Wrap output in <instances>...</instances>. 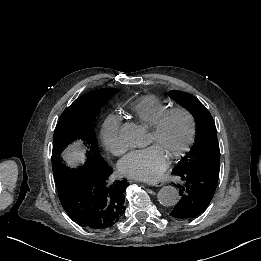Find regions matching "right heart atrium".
<instances>
[{"label":"right heart atrium","mask_w":261,"mask_h":261,"mask_svg":"<svg viewBox=\"0 0 261 261\" xmlns=\"http://www.w3.org/2000/svg\"><path fill=\"white\" fill-rule=\"evenodd\" d=\"M101 138L104 150L111 155L119 156L127 148L120 141L118 122L114 117H108L104 121L101 129Z\"/></svg>","instance_id":"obj_1"}]
</instances>
